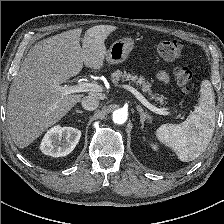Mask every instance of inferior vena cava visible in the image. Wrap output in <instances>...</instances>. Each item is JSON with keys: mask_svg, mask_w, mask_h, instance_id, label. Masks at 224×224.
Here are the masks:
<instances>
[{"mask_svg": "<svg viewBox=\"0 0 224 224\" xmlns=\"http://www.w3.org/2000/svg\"><path fill=\"white\" fill-rule=\"evenodd\" d=\"M81 104L84 109L92 111L99 106V100L95 96L89 95L82 98Z\"/></svg>", "mask_w": 224, "mask_h": 224, "instance_id": "obj_1", "label": "inferior vena cava"}]
</instances>
